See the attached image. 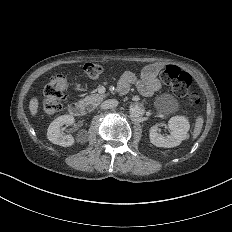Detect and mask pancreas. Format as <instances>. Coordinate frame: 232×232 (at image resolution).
<instances>
[{
    "label": "pancreas",
    "mask_w": 232,
    "mask_h": 232,
    "mask_svg": "<svg viewBox=\"0 0 232 232\" xmlns=\"http://www.w3.org/2000/svg\"><path fill=\"white\" fill-rule=\"evenodd\" d=\"M104 98V94H91L81 100L80 103L84 104L89 111H92L103 101Z\"/></svg>",
    "instance_id": "obj_1"
}]
</instances>
